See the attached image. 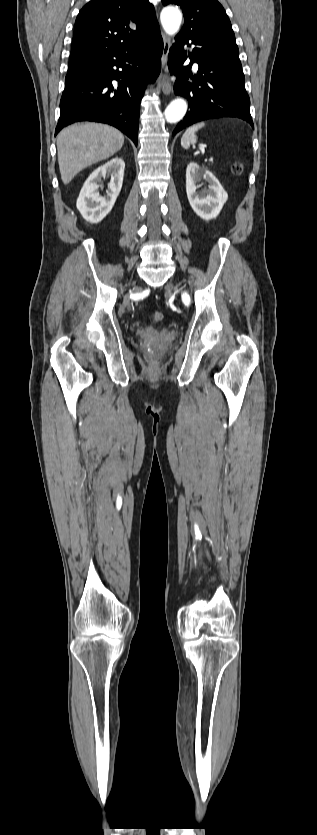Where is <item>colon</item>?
I'll use <instances>...</instances> for the list:
<instances>
[{"instance_id": "5ec220e1", "label": "colon", "mask_w": 317, "mask_h": 835, "mask_svg": "<svg viewBox=\"0 0 317 835\" xmlns=\"http://www.w3.org/2000/svg\"><path fill=\"white\" fill-rule=\"evenodd\" d=\"M232 172L234 175L239 176L243 173V165L241 163H235L232 167ZM163 319V314L159 311H154L150 314V320L153 323H159ZM160 361L159 357L154 358V362L158 363Z\"/></svg>"}]
</instances>
